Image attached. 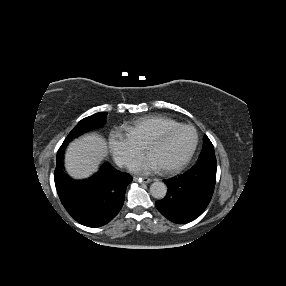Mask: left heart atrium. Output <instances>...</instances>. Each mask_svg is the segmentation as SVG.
<instances>
[{"instance_id":"left-heart-atrium-1","label":"left heart atrium","mask_w":286,"mask_h":286,"mask_svg":"<svg viewBox=\"0 0 286 286\" xmlns=\"http://www.w3.org/2000/svg\"><path fill=\"white\" fill-rule=\"evenodd\" d=\"M132 171L136 173H147L161 168L157 160L150 154L137 157L130 165Z\"/></svg>"}]
</instances>
